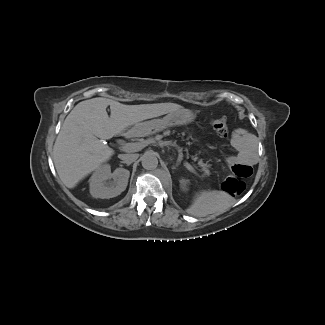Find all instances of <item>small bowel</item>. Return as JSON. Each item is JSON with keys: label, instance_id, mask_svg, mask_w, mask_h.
Instances as JSON below:
<instances>
[{"label": "small bowel", "instance_id": "obj_1", "mask_svg": "<svg viewBox=\"0 0 325 325\" xmlns=\"http://www.w3.org/2000/svg\"><path fill=\"white\" fill-rule=\"evenodd\" d=\"M237 155H238L239 157H241L242 160H246V158H245V156H244V153H243L241 150H238V151H237Z\"/></svg>", "mask_w": 325, "mask_h": 325}]
</instances>
